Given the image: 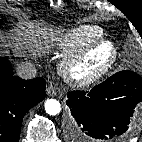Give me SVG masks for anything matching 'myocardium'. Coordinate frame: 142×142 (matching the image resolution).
<instances>
[{"label": "myocardium", "mask_w": 142, "mask_h": 142, "mask_svg": "<svg viewBox=\"0 0 142 142\" xmlns=\"http://www.w3.org/2000/svg\"><path fill=\"white\" fill-rule=\"evenodd\" d=\"M106 50L104 62L95 70L82 73L81 66L96 52ZM118 51L115 44L107 39L97 40L73 53L61 64V74L72 85L79 87L91 86L100 81L116 63Z\"/></svg>", "instance_id": "f54148a6"}]
</instances>
